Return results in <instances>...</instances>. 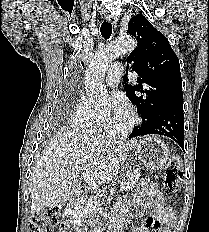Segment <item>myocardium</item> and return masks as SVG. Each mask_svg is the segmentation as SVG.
I'll list each match as a JSON object with an SVG mask.
<instances>
[{"label":"myocardium","instance_id":"1","mask_svg":"<svg viewBox=\"0 0 209 232\" xmlns=\"http://www.w3.org/2000/svg\"><path fill=\"white\" fill-rule=\"evenodd\" d=\"M128 115H129V123L124 128L119 129V130H114L110 128L109 125L107 124L105 127V131L110 136H113V137H123V136H127L128 134H130L138 123V116L131 110L128 112Z\"/></svg>","mask_w":209,"mask_h":232}]
</instances>
